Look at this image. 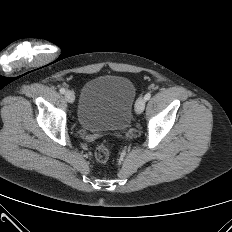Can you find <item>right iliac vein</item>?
Returning <instances> with one entry per match:
<instances>
[{"label": "right iliac vein", "mask_w": 232, "mask_h": 232, "mask_svg": "<svg viewBox=\"0 0 232 232\" xmlns=\"http://www.w3.org/2000/svg\"><path fill=\"white\" fill-rule=\"evenodd\" d=\"M65 99L69 102V103H73L75 100V95L72 91H66L65 92Z\"/></svg>", "instance_id": "1"}]
</instances>
